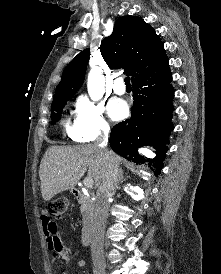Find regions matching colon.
<instances>
[{
	"label": "colon",
	"mask_w": 221,
	"mask_h": 274,
	"mask_svg": "<svg viewBox=\"0 0 221 274\" xmlns=\"http://www.w3.org/2000/svg\"><path fill=\"white\" fill-rule=\"evenodd\" d=\"M49 212L55 217H61L67 210V200L65 198L54 199L48 207ZM67 259L71 258V255L67 254Z\"/></svg>",
	"instance_id": "colon-1"
}]
</instances>
